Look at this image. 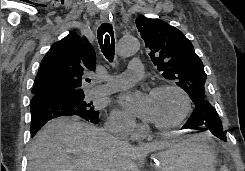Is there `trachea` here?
Returning <instances> with one entry per match:
<instances>
[{
  "label": "trachea",
  "mask_w": 245,
  "mask_h": 171,
  "mask_svg": "<svg viewBox=\"0 0 245 171\" xmlns=\"http://www.w3.org/2000/svg\"><path fill=\"white\" fill-rule=\"evenodd\" d=\"M98 42L104 56L112 61L115 54V39L113 27L110 23L102 24L97 31Z\"/></svg>",
  "instance_id": "1"
}]
</instances>
